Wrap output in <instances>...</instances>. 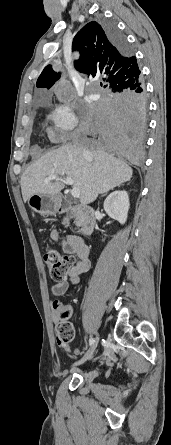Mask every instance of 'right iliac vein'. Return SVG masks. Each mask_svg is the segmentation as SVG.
Returning <instances> with one entry per match:
<instances>
[{"label": "right iliac vein", "mask_w": 171, "mask_h": 445, "mask_svg": "<svg viewBox=\"0 0 171 445\" xmlns=\"http://www.w3.org/2000/svg\"><path fill=\"white\" fill-rule=\"evenodd\" d=\"M98 342H99V335L97 334L96 337H95V339H94V342H93V344L91 345V347H90V349L88 350V352L85 354V356H84L83 358H81L80 360L76 361V362L71 366V369H73V368H75V367H77V366L83 364L86 360H88L89 358H91L92 355H93V353H94V351H95V349H96V347H97V345H98Z\"/></svg>", "instance_id": "1"}]
</instances>
